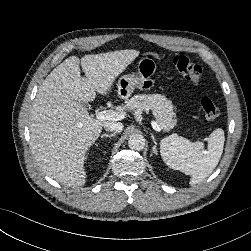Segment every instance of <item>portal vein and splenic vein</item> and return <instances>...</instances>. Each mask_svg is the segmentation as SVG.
Instances as JSON below:
<instances>
[{
  "label": "portal vein and splenic vein",
  "mask_w": 251,
  "mask_h": 251,
  "mask_svg": "<svg viewBox=\"0 0 251 251\" xmlns=\"http://www.w3.org/2000/svg\"><path fill=\"white\" fill-rule=\"evenodd\" d=\"M96 118L101 120V121H107V120H122L125 118L123 113L120 112H116L113 110H104L101 112H98L96 114ZM152 127L155 131L157 132H161V127L158 125V123L156 121H152Z\"/></svg>",
  "instance_id": "portal-vein-and-splenic-vein-1"
}]
</instances>
